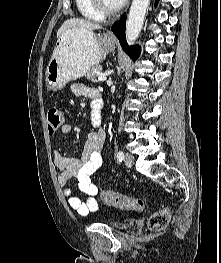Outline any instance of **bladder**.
Masks as SVG:
<instances>
[{"label": "bladder", "instance_id": "31cf9c89", "mask_svg": "<svg viewBox=\"0 0 221 263\" xmlns=\"http://www.w3.org/2000/svg\"><path fill=\"white\" fill-rule=\"evenodd\" d=\"M109 226L116 230H125L128 228L129 224L124 220H113L110 221Z\"/></svg>", "mask_w": 221, "mask_h": 263}]
</instances>
